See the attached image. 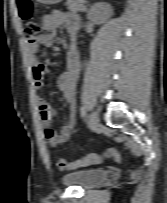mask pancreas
<instances>
[{"mask_svg": "<svg viewBox=\"0 0 167 203\" xmlns=\"http://www.w3.org/2000/svg\"><path fill=\"white\" fill-rule=\"evenodd\" d=\"M85 0H67L66 6L71 12L85 11Z\"/></svg>", "mask_w": 167, "mask_h": 203, "instance_id": "pancreas-1", "label": "pancreas"}]
</instances>
